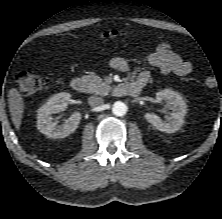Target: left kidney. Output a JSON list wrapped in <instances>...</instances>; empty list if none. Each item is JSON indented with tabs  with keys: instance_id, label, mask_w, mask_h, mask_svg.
<instances>
[{
	"instance_id": "left-kidney-1",
	"label": "left kidney",
	"mask_w": 222,
	"mask_h": 219,
	"mask_svg": "<svg viewBox=\"0 0 222 219\" xmlns=\"http://www.w3.org/2000/svg\"><path fill=\"white\" fill-rule=\"evenodd\" d=\"M158 102H165L171 110L167 120H162L159 116L152 113H146L145 119L151 123L157 130L174 133L179 130L183 124L187 112V106L181 95L175 91L165 89L156 93Z\"/></svg>"
}]
</instances>
